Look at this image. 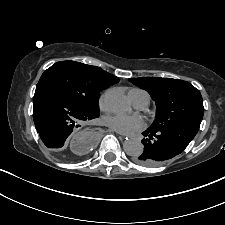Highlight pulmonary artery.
Returning a JSON list of instances; mask_svg holds the SVG:
<instances>
[{
    "label": "pulmonary artery",
    "instance_id": "e3ab8cb5",
    "mask_svg": "<svg viewBox=\"0 0 225 225\" xmlns=\"http://www.w3.org/2000/svg\"><path fill=\"white\" fill-rule=\"evenodd\" d=\"M129 97L131 98L133 104L139 109L147 107L150 100L149 95L140 89H132L129 92Z\"/></svg>",
    "mask_w": 225,
    "mask_h": 225
}]
</instances>
